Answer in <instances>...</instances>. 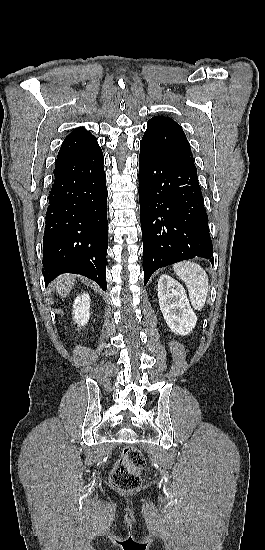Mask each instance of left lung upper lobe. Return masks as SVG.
<instances>
[{"mask_svg": "<svg viewBox=\"0 0 265 550\" xmlns=\"http://www.w3.org/2000/svg\"><path fill=\"white\" fill-rule=\"evenodd\" d=\"M141 143L196 170L189 142L183 129L169 117L154 116L151 118Z\"/></svg>", "mask_w": 265, "mask_h": 550, "instance_id": "5c2ea615", "label": "left lung upper lobe"}]
</instances>
